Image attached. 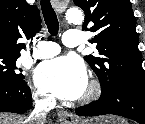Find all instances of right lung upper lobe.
<instances>
[{"mask_svg":"<svg viewBox=\"0 0 145 124\" xmlns=\"http://www.w3.org/2000/svg\"><path fill=\"white\" fill-rule=\"evenodd\" d=\"M41 29L39 10L25 0H0V52L20 55L25 44Z\"/></svg>","mask_w":145,"mask_h":124,"instance_id":"cb5924a9","label":"right lung upper lobe"}]
</instances>
